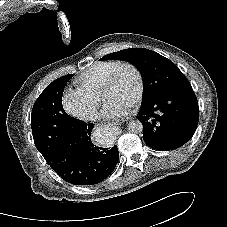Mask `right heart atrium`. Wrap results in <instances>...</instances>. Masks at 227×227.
Listing matches in <instances>:
<instances>
[{
    "mask_svg": "<svg viewBox=\"0 0 227 227\" xmlns=\"http://www.w3.org/2000/svg\"><path fill=\"white\" fill-rule=\"evenodd\" d=\"M62 106L69 115L81 120H95L98 116L99 100L89 93L67 88L62 96Z\"/></svg>",
    "mask_w": 227,
    "mask_h": 227,
    "instance_id": "1",
    "label": "right heart atrium"
}]
</instances>
